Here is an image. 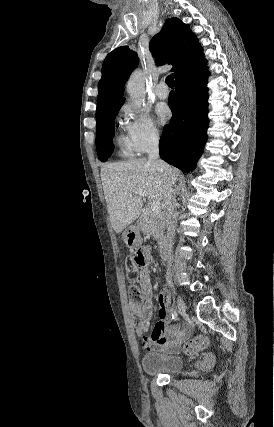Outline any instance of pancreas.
<instances>
[{
  "label": "pancreas",
  "mask_w": 274,
  "mask_h": 427,
  "mask_svg": "<svg viewBox=\"0 0 274 427\" xmlns=\"http://www.w3.org/2000/svg\"><path fill=\"white\" fill-rule=\"evenodd\" d=\"M165 217V212L153 214L150 210H143L139 219L141 231H143V233H150V235H154L156 239H164Z\"/></svg>",
  "instance_id": "1"
}]
</instances>
